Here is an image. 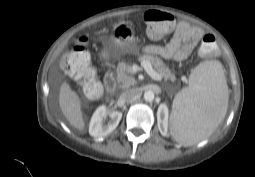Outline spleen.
I'll list each match as a JSON object with an SVG mask.
<instances>
[{"label":"spleen","mask_w":255,"mask_h":177,"mask_svg":"<svg viewBox=\"0 0 255 177\" xmlns=\"http://www.w3.org/2000/svg\"><path fill=\"white\" fill-rule=\"evenodd\" d=\"M228 86L218 61L200 63L191 72L189 86L175 96L170 133L184 146L210 136L225 118Z\"/></svg>","instance_id":"spleen-1"}]
</instances>
